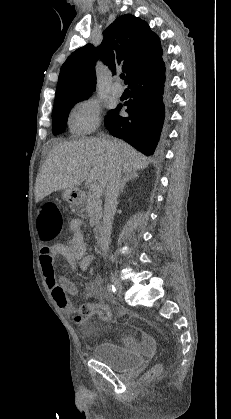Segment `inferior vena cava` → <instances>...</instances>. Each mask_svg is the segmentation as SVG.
Wrapping results in <instances>:
<instances>
[{
	"mask_svg": "<svg viewBox=\"0 0 231 419\" xmlns=\"http://www.w3.org/2000/svg\"><path fill=\"white\" fill-rule=\"evenodd\" d=\"M120 182L121 168L117 164H112L107 178L103 222L98 238V242L105 253L109 250L112 221L116 211Z\"/></svg>",
	"mask_w": 231,
	"mask_h": 419,
	"instance_id": "602c4592",
	"label": "inferior vena cava"
}]
</instances>
